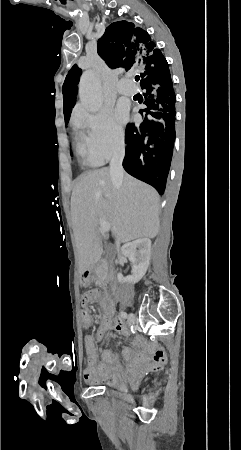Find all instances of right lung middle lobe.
I'll list each match as a JSON object with an SVG mask.
<instances>
[{
  "label": "right lung middle lobe",
  "instance_id": "right-lung-middle-lobe-1",
  "mask_svg": "<svg viewBox=\"0 0 241 450\" xmlns=\"http://www.w3.org/2000/svg\"><path fill=\"white\" fill-rule=\"evenodd\" d=\"M80 74L77 75H67L62 87L63 100H64V116L65 123H68L69 116L71 113V108L75 105L76 95H77V84L79 82Z\"/></svg>",
  "mask_w": 241,
  "mask_h": 450
}]
</instances>
